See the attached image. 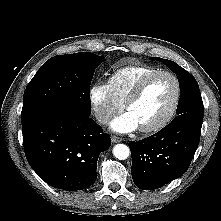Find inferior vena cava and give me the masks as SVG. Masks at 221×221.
Returning a JSON list of instances; mask_svg holds the SVG:
<instances>
[{
	"instance_id": "inferior-vena-cava-1",
	"label": "inferior vena cava",
	"mask_w": 221,
	"mask_h": 221,
	"mask_svg": "<svg viewBox=\"0 0 221 221\" xmlns=\"http://www.w3.org/2000/svg\"><path fill=\"white\" fill-rule=\"evenodd\" d=\"M95 117L98 120L99 123L101 124H106L110 121L111 116L104 112V111H96L95 112Z\"/></svg>"
}]
</instances>
